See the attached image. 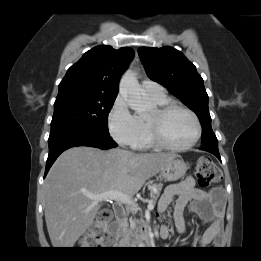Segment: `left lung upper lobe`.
<instances>
[{"label":"left lung upper lobe","instance_id":"left-lung-upper-lobe-1","mask_svg":"<svg viewBox=\"0 0 261 261\" xmlns=\"http://www.w3.org/2000/svg\"><path fill=\"white\" fill-rule=\"evenodd\" d=\"M138 54L148 77L165 86L196 113L202 126V144H218L211 127L208 95L196 67L172 47H141Z\"/></svg>","mask_w":261,"mask_h":261}]
</instances>
